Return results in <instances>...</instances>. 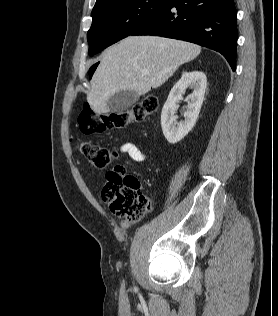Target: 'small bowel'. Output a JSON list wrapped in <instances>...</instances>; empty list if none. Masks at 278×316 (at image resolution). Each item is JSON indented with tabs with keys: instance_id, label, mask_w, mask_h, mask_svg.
<instances>
[{
	"instance_id": "1",
	"label": "small bowel",
	"mask_w": 278,
	"mask_h": 316,
	"mask_svg": "<svg viewBox=\"0 0 278 316\" xmlns=\"http://www.w3.org/2000/svg\"><path fill=\"white\" fill-rule=\"evenodd\" d=\"M119 153L128 155L129 160L124 162L127 166H132L134 163H141L146 159L145 152L132 142L123 143L119 148ZM122 226L126 229L129 227V224L123 222Z\"/></svg>"
}]
</instances>
